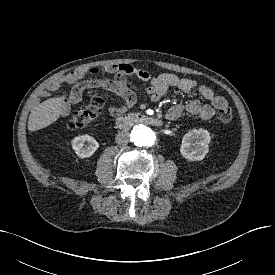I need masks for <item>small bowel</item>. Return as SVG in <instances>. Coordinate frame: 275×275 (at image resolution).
<instances>
[{
	"instance_id": "c3829d8e",
	"label": "small bowel",
	"mask_w": 275,
	"mask_h": 275,
	"mask_svg": "<svg viewBox=\"0 0 275 275\" xmlns=\"http://www.w3.org/2000/svg\"><path fill=\"white\" fill-rule=\"evenodd\" d=\"M106 73L115 74V77L113 79L82 80L89 75ZM129 75H135L140 80L148 82L147 93L154 102L159 101L171 88L178 89L187 95L192 94L197 89L200 96L208 102L207 104H200L196 101H191L186 105H175L171 107L166 114L168 120H176L181 116L183 110L203 120H209L215 115L217 110L227 106V100L223 96L216 94L213 89L206 85L197 86V84L190 79L180 78L170 73L152 76L148 71L134 68L129 64L81 67L58 77L52 82L50 89L56 90L62 84H73L70 95L65 99V105L71 106L78 104L82 100L83 92L86 89L103 87L113 92L123 101L122 106L109 108V113L116 116L126 108L132 106L135 102L134 94L128 88L126 82V76Z\"/></svg>"
}]
</instances>
